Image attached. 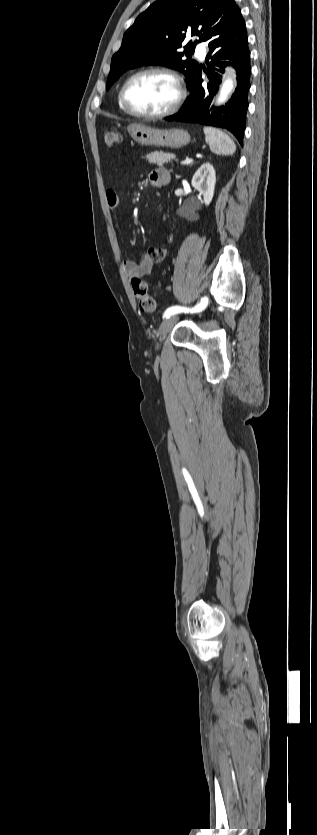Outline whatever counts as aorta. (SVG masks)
<instances>
[{
  "label": "aorta",
  "instance_id": "762f6f07",
  "mask_svg": "<svg viewBox=\"0 0 317 835\" xmlns=\"http://www.w3.org/2000/svg\"><path fill=\"white\" fill-rule=\"evenodd\" d=\"M234 84L232 78L228 77L222 84L219 96L217 98V105H221L227 102L228 97L231 95L233 90Z\"/></svg>",
  "mask_w": 317,
  "mask_h": 835
}]
</instances>
